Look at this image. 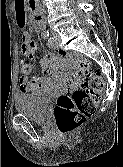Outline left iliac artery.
I'll list each match as a JSON object with an SVG mask.
<instances>
[{
  "instance_id": "left-iliac-artery-1",
  "label": "left iliac artery",
  "mask_w": 123,
  "mask_h": 167,
  "mask_svg": "<svg viewBox=\"0 0 123 167\" xmlns=\"http://www.w3.org/2000/svg\"><path fill=\"white\" fill-rule=\"evenodd\" d=\"M48 43H49L51 46H53V38L49 37V38H48Z\"/></svg>"
}]
</instances>
